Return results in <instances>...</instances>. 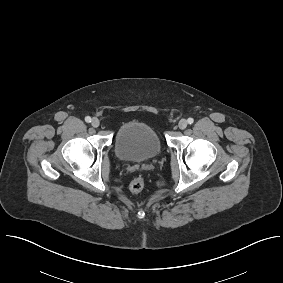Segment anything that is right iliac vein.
<instances>
[{
	"mask_svg": "<svg viewBox=\"0 0 283 283\" xmlns=\"http://www.w3.org/2000/svg\"><path fill=\"white\" fill-rule=\"evenodd\" d=\"M91 124L93 127L97 128L100 125V121L98 118H93Z\"/></svg>",
	"mask_w": 283,
	"mask_h": 283,
	"instance_id": "63e3f726",
	"label": "right iliac vein"
}]
</instances>
